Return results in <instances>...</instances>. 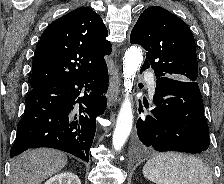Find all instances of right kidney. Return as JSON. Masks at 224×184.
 <instances>
[{
	"label": "right kidney",
	"instance_id": "1",
	"mask_svg": "<svg viewBox=\"0 0 224 184\" xmlns=\"http://www.w3.org/2000/svg\"><path fill=\"white\" fill-rule=\"evenodd\" d=\"M44 184H81V182L72 172H64L51 177Z\"/></svg>",
	"mask_w": 224,
	"mask_h": 184
}]
</instances>
